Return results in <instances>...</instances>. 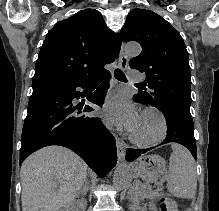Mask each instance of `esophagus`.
Returning a JSON list of instances; mask_svg holds the SVG:
<instances>
[{"mask_svg":"<svg viewBox=\"0 0 219 211\" xmlns=\"http://www.w3.org/2000/svg\"><path fill=\"white\" fill-rule=\"evenodd\" d=\"M128 65V58L124 53V43L122 42L121 50L118 58V67L125 70ZM116 145H117V157L118 161H123L125 159V151L123 143L116 138Z\"/></svg>","mask_w":219,"mask_h":211,"instance_id":"34e87169","label":"esophagus"}]
</instances>
